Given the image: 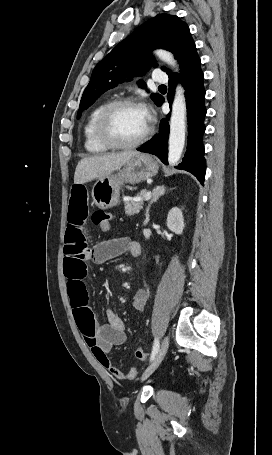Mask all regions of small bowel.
Here are the masks:
<instances>
[{
    "label": "small bowel",
    "instance_id": "small-bowel-1",
    "mask_svg": "<svg viewBox=\"0 0 272 455\" xmlns=\"http://www.w3.org/2000/svg\"><path fill=\"white\" fill-rule=\"evenodd\" d=\"M87 216V189L78 183L72 187L70 194L64 240V273L68 282L73 316L97 361L117 379L133 378L137 375V369L132 368L126 374L117 368L109 357L114 346L126 341L125 323L112 309L105 312L107 319L105 324L97 321L90 307L86 279L89 265L103 263L124 253L137 258L141 254V246L126 237L112 238L93 247L88 246L84 235ZM147 300L148 293L139 289L132 297V306L142 311Z\"/></svg>",
    "mask_w": 272,
    "mask_h": 455
}]
</instances>
